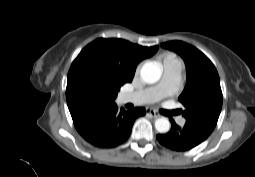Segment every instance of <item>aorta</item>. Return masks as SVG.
I'll return each mask as SVG.
<instances>
[{
  "label": "aorta",
  "instance_id": "1",
  "mask_svg": "<svg viewBox=\"0 0 255 177\" xmlns=\"http://www.w3.org/2000/svg\"><path fill=\"white\" fill-rule=\"evenodd\" d=\"M140 76L145 83L153 84L160 79L161 70L154 63L148 62L142 66ZM155 128L160 133H167L170 130V122L167 118H158L155 121Z\"/></svg>",
  "mask_w": 255,
  "mask_h": 177
}]
</instances>
